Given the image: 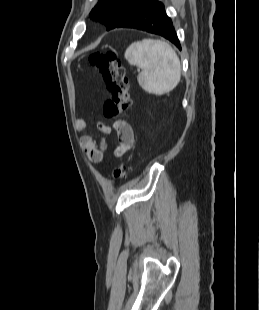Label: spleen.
Wrapping results in <instances>:
<instances>
[{"mask_svg": "<svg viewBox=\"0 0 259 310\" xmlns=\"http://www.w3.org/2000/svg\"><path fill=\"white\" fill-rule=\"evenodd\" d=\"M124 57L130 65L142 69L137 80L142 89L150 94L168 93L181 79L179 57L164 41L143 39L133 42L126 49Z\"/></svg>", "mask_w": 259, "mask_h": 310, "instance_id": "3e777b00", "label": "spleen"}]
</instances>
